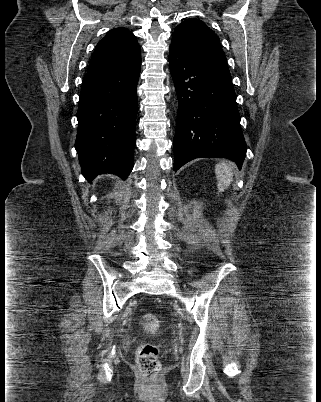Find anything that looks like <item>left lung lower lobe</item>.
<instances>
[{
	"mask_svg": "<svg viewBox=\"0 0 321 402\" xmlns=\"http://www.w3.org/2000/svg\"><path fill=\"white\" fill-rule=\"evenodd\" d=\"M179 111L174 171L198 157H226L240 168L247 146L228 66L169 47Z\"/></svg>",
	"mask_w": 321,
	"mask_h": 402,
	"instance_id": "left-lung-lower-lobe-1",
	"label": "left lung lower lobe"
}]
</instances>
